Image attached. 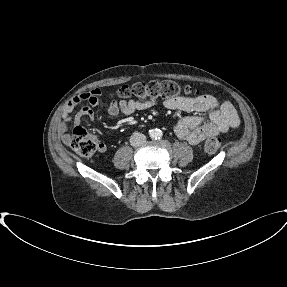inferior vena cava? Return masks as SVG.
Here are the masks:
<instances>
[{"label":"inferior vena cava","instance_id":"inferior-vena-cava-1","mask_svg":"<svg viewBox=\"0 0 287 287\" xmlns=\"http://www.w3.org/2000/svg\"><path fill=\"white\" fill-rule=\"evenodd\" d=\"M146 141V136L142 133L135 132L130 137V144L132 146H140Z\"/></svg>","mask_w":287,"mask_h":287}]
</instances>
